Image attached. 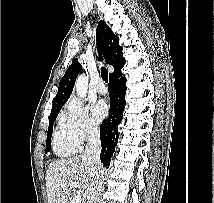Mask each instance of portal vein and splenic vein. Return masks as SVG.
I'll list each match as a JSON object with an SVG mask.
<instances>
[{
  "label": "portal vein and splenic vein",
  "instance_id": "1",
  "mask_svg": "<svg viewBox=\"0 0 214 203\" xmlns=\"http://www.w3.org/2000/svg\"><path fill=\"white\" fill-rule=\"evenodd\" d=\"M68 185L71 188H77V184L75 182H73V181L68 182ZM81 201H82V197L80 195H78V196H74V198L71 201V203H81Z\"/></svg>",
  "mask_w": 214,
  "mask_h": 203
}]
</instances>
